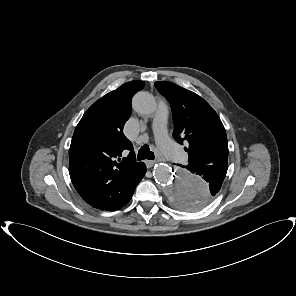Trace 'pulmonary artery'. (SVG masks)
Here are the masks:
<instances>
[{
  "mask_svg": "<svg viewBox=\"0 0 296 296\" xmlns=\"http://www.w3.org/2000/svg\"><path fill=\"white\" fill-rule=\"evenodd\" d=\"M168 112V104L164 99H160L157 111L153 118L152 128L156 142L163 154L169 159H172L174 161H180L183 157V153L169 139L166 131Z\"/></svg>",
  "mask_w": 296,
  "mask_h": 296,
  "instance_id": "1",
  "label": "pulmonary artery"
}]
</instances>
